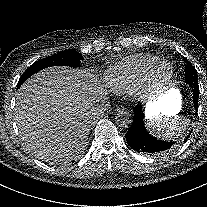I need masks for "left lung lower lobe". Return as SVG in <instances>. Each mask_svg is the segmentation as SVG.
<instances>
[{"label": "left lung lower lobe", "instance_id": "0a47b994", "mask_svg": "<svg viewBox=\"0 0 207 207\" xmlns=\"http://www.w3.org/2000/svg\"><path fill=\"white\" fill-rule=\"evenodd\" d=\"M188 84L193 88V103L197 111L199 99L198 79ZM133 112V123L125 134L127 143L132 149L141 153L157 154L169 150L174 145V142L156 139L147 132L143 122L144 114L141 105L135 106Z\"/></svg>", "mask_w": 207, "mask_h": 207}]
</instances>
